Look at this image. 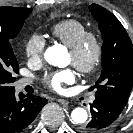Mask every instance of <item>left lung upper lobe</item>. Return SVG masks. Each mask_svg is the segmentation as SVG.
<instances>
[{"mask_svg": "<svg viewBox=\"0 0 133 133\" xmlns=\"http://www.w3.org/2000/svg\"><path fill=\"white\" fill-rule=\"evenodd\" d=\"M102 33V72L92 87L126 105L133 86V46L120 21L108 10L97 5L89 6Z\"/></svg>", "mask_w": 133, "mask_h": 133, "instance_id": "5c2ea615", "label": "left lung upper lobe"}]
</instances>
